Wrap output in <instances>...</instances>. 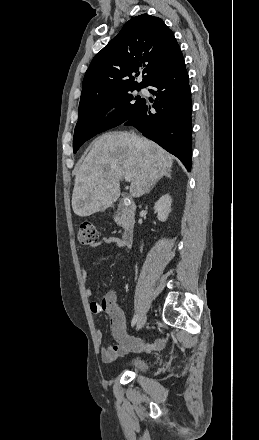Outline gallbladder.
Returning <instances> with one entry per match:
<instances>
[{"instance_id": "bac80fb5", "label": "gallbladder", "mask_w": 259, "mask_h": 440, "mask_svg": "<svg viewBox=\"0 0 259 440\" xmlns=\"http://www.w3.org/2000/svg\"><path fill=\"white\" fill-rule=\"evenodd\" d=\"M123 208H124V206H123L122 202L119 203V205H118V211L122 210Z\"/></svg>"}]
</instances>
